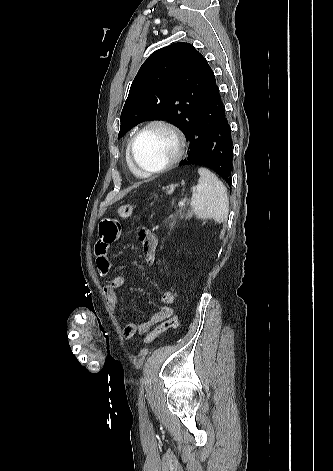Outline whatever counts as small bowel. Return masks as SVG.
<instances>
[{
  "mask_svg": "<svg viewBox=\"0 0 333 471\" xmlns=\"http://www.w3.org/2000/svg\"><path fill=\"white\" fill-rule=\"evenodd\" d=\"M121 226L117 219L112 217L103 218L99 224V239L95 244V256L98 271L101 276H107L112 268V262L109 259L110 245L116 241L120 235ZM139 239L142 243L144 257L148 264L152 265L156 259V250L158 239L155 233L147 228L139 230ZM125 283L122 275H115L110 282L104 285L103 291L107 305L115 308L118 303L117 290ZM162 306L147 321L135 324L128 323L125 325L123 334L127 340L133 339L136 334H144L148 332L154 325L170 318L173 313L172 305L175 303V295L172 291H164L160 298Z\"/></svg>",
  "mask_w": 333,
  "mask_h": 471,
  "instance_id": "c3829d8e",
  "label": "small bowel"
}]
</instances>
